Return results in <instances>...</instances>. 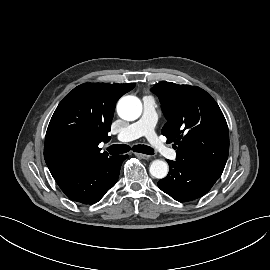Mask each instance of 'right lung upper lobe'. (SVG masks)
I'll return each instance as SVG.
<instances>
[{"label":"right lung upper lobe","mask_w":270,"mask_h":270,"mask_svg":"<svg viewBox=\"0 0 270 270\" xmlns=\"http://www.w3.org/2000/svg\"><path fill=\"white\" fill-rule=\"evenodd\" d=\"M134 87V83H84L63 98L45 137L44 158L53 178L108 158L98 144L111 139L108 132L116 102Z\"/></svg>","instance_id":"obj_1"}]
</instances>
